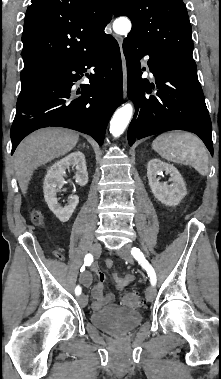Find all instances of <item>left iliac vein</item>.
Returning a JSON list of instances; mask_svg holds the SVG:
<instances>
[{"label":"left iliac vein","mask_w":221,"mask_h":379,"mask_svg":"<svg viewBox=\"0 0 221 379\" xmlns=\"http://www.w3.org/2000/svg\"><path fill=\"white\" fill-rule=\"evenodd\" d=\"M130 250H131V245L127 244V245H124L119 251H118V255L126 260L127 262L129 263H133V257L130 253ZM156 296V289L155 287L152 285V286H149L147 289H146V292H145V297H146V300L151 302L154 300Z\"/></svg>","instance_id":"1"}]
</instances>
